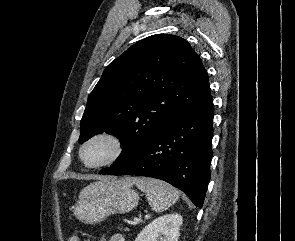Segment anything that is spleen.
<instances>
[{"label": "spleen", "mask_w": 295, "mask_h": 241, "mask_svg": "<svg viewBox=\"0 0 295 241\" xmlns=\"http://www.w3.org/2000/svg\"><path fill=\"white\" fill-rule=\"evenodd\" d=\"M137 188L146 194L151 208L163 212L179 199V191L166 182L154 178H137L134 180Z\"/></svg>", "instance_id": "1"}]
</instances>
